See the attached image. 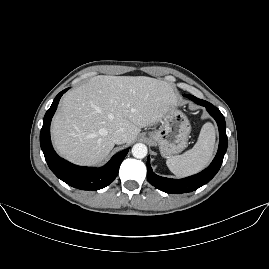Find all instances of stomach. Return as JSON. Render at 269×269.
<instances>
[{"mask_svg":"<svg viewBox=\"0 0 269 269\" xmlns=\"http://www.w3.org/2000/svg\"><path fill=\"white\" fill-rule=\"evenodd\" d=\"M162 126L149 133L160 148L163 157L181 152L187 145L190 124L178 110L166 111L161 120Z\"/></svg>","mask_w":269,"mask_h":269,"instance_id":"obj_1","label":"stomach"}]
</instances>
